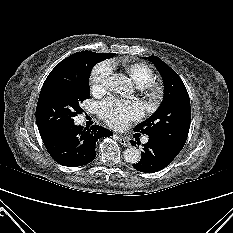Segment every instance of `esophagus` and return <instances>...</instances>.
Masks as SVG:
<instances>
[{
    "label": "esophagus",
    "mask_w": 233,
    "mask_h": 233,
    "mask_svg": "<svg viewBox=\"0 0 233 233\" xmlns=\"http://www.w3.org/2000/svg\"><path fill=\"white\" fill-rule=\"evenodd\" d=\"M118 139H119L120 144L123 145L124 147L130 146V141L126 137L119 136Z\"/></svg>",
    "instance_id": "esophagus-1"
}]
</instances>
